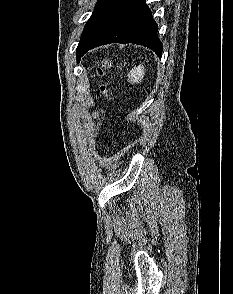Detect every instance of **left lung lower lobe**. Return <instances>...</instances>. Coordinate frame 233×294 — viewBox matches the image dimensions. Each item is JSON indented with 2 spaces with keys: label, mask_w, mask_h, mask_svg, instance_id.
<instances>
[{
  "label": "left lung lower lobe",
  "mask_w": 233,
  "mask_h": 294,
  "mask_svg": "<svg viewBox=\"0 0 233 294\" xmlns=\"http://www.w3.org/2000/svg\"><path fill=\"white\" fill-rule=\"evenodd\" d=\"M158 25L145 0H112L82 44L78 60L90 49L109 43H134L152 49L161 58Z\"/></svg>",
  "instance_id": "left-lung-lower-lobe-1"
}]
</instances>
